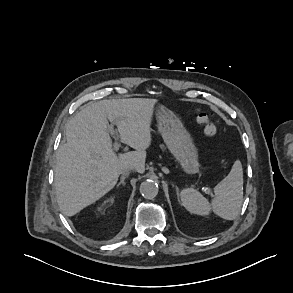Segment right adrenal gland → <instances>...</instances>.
Masks as SVG:
<instances>
[{
    "label": "right adrenal gland",
    "instance_id": "1",
    "mask_svg": "<svg viewBox=\"0 0 293 293\" xmlns=\"http://www.w3.org/2000/svg\"><path fill=\"white\" fill-rule=\"evenodd\" d=\"M127 177H128V174H126V175H122L121 178H120V182L117 184L116 188H118L121 184L124 186V185H125L124 180H125V178H127Z\"/></svg>",
    "mask_w": 293,
    "mask_h": 293
}]
</instances>
